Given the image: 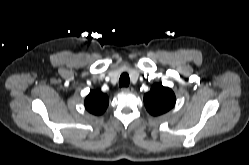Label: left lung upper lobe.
<instances>
[{
	"mask_svg": "<svg viewBox=\"0 0 249 165\" xmlns=\"http://www.w3.org/2000/svg\"><path fill=\"white\" fill-rule=\"evenodd\" d=\"M176 102V97L172 89L161 84H154L151 90L144 95V104L147 111L154 116L161 115L169 111Z\"/></svg>",
	"mask_w": 249,
	"mask_h": 165,
	"instance_id": "left-lung-upper-lobe-1",
	"label": "left lung upper lobe"
}]
</instances>
